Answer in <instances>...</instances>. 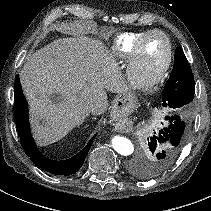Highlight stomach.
<instances>
[{"instance_id": "obj_1", "label": "stomach", "mask_w": 211, "mask_h": 211, "mask_svg": "<svg viewBox=\"0 0 211 211\" xmlns=\"http://www.w3.org/2000/svg\"><path fill=\"white\" fill-rule=\"evenodd\" d=\"M137 106V99L131 92L118 94L112 102V115L121 119L130 115Z\"/></svg>"}]
</instances>
